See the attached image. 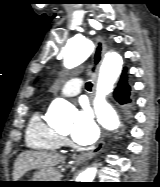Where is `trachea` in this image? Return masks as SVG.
I'll list each match as a JSON object with an SVG mask.
<instances>
[{"label":"trachea","mask_w":160,"mask_h":187,"mask_svg":"<svg viewBox=\"0 0 160 187\" xmlns=\"http://www.w3.org/2000/svg\"><path fill=\"white\" fill-rule=\"evenodd\" d=\"M86 89H87L88 91H91V89H92V83H91V82H87V83H86Z\"/></svg>","instance_id":"1"}]
</instances>
